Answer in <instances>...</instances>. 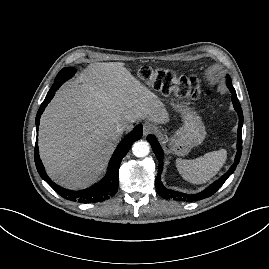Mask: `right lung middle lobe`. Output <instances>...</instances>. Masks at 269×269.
Segmentation results:
<instances>
[{
    "mask_svg": "<svg viewBox=\"0 0 269 269\" xmlns=\"http://www.w3.org/2000/svg\"><path fill=\"white\" fill-rule=\"evenodd\" d=\"M76 72L75 68L72 67H66L63 68L56 76L55 81L60 80L62 82H65L66 80L70 79Z\"/></svg>",
    "mask_w": 269,
    "mask_h": 269,
    "instance_id": "1",
    "label": "right lung middle lobe"
}]
</instances>
